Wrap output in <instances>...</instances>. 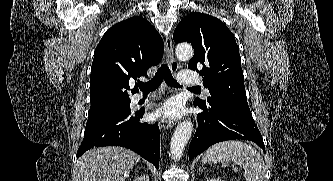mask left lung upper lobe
<instances>
[{"mask_svg":"<svg viewBox=\"0 0 333 181\" xmlns=\"http://www.w3.org/2000/svg\"><path fill=\"white\" fill-rule=\"evenodd\" d=\"M173 38L176 43L192 44L195 53L188 68L199 71L203 85L209 89L210 97L206 101L196 98L195 104H216L252 115L246 99L239 48L222 21L193 12L181 20Z\"/></svg>","mask_w":333,"mask_h":181,"instance_id":"5c2ea615","label":"left lung upper lobe"}]
</instances>
